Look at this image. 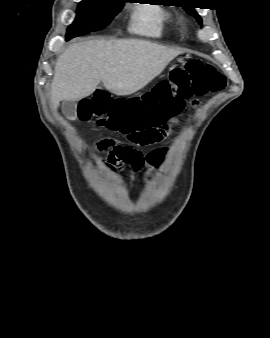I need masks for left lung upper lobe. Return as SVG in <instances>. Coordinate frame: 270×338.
<instances>
[{"label":"left lung upper lobe","mask_w":270,"mask_h":338,"mask_svg":"<svg viewBox=\"0 0 270 338\" xmlns=\"http://www.w3.org/2000/svg\"><path fill=\"white\" fill-rule=\"evenodd\" d=\"M183 8L189 15L194 16L199 24H202L201 17L198 15V13L194 10L193 7L187 6V7H183Z\"/></svg>","instance_id":"1"}]
</instances>
